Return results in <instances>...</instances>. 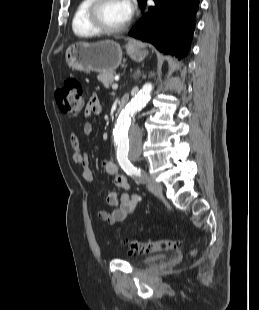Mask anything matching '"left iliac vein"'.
<instances>
[{"label":"left iliac vein","mask_w":259,"mask_h":310,"mask_svg":"<svg viewBox=\"0 0 259 310\" xmlns=\"http://www.w3.org/2000/svg\"><path fill=\"white\" fill-rule=\"evenodd\" d=\"M146 180H147L149 190L153 194L160 196L162 194V185L159 182L151 179L150 177H146Z\"/></svg>","instance_id":"obj_1"}]
</instances>
